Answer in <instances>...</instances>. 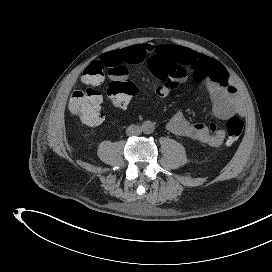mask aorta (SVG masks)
<instances>
[{"mask_svg": "<svg viewBox=\"0 0 272 272\" xmlns=\"http://www.w3.org/2000/svg\"><path fill=\"white\" fill-rule=\"evenodd\" d=\"M141 129H142L143 133L151 134L155 129L154 123L151 121H145V122H143Z\"/></svg>", "mask_w": 272, "mask_h": 272, "instance_id": "762f6f07", "label": "aorta"}]
</instances>
